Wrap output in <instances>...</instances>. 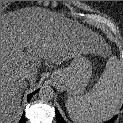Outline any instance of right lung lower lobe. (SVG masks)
<instances>
[{
  "label": "right lung lower lobe",
  "mask_w": 123,
  "mask_h": 123,
  "mask_svg": "<svg viewBox=\"0 0 123 123\" xmlns=\"http://www.w3.org/2000/svg\"><path fill=\"white\" fill-rule=\"evenodd\" d=\"M38 90L34 91L33 93L28 95V101L30 100V98L37 92ZM18 123H26V119H25V115H22V118L20 119V121Z\"/></svg>",
  "instance_id": "right-lung-lower-lobe-1"
}]
</instances>
